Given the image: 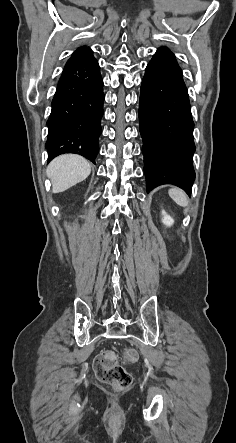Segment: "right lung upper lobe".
Masks as SVG:
<instances>
[{"instance_id": "cb5924a9", "label": "right lung upper lobe", "mask_w": 236, "mask_h": 443, "mask_svg": "<svg viewBox=\"0 0 236 443\" xmlns=\"http://www.w3.org/2000/svg\"><path fill=\"white\" fill-rule=\"evenodd\" d=\"M71 57L83 58V59H95L93 52L89 47H79Z\"/></svg>"}]
</instances>
